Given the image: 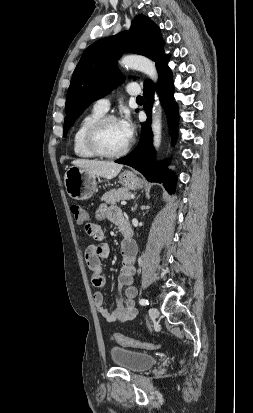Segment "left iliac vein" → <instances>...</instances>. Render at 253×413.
<instances>
[{
	"instance_id": "4c4485c4",
	"label": "left iliac vein",
	"mask_w": 253,
	"mask_h": 413,
	"mask_svg": "<svg viewBox=\"0 0 253 413\" xmlns=\"http://www.w3.org/2000/svg\"><path fill=\"white\" fill-rule=\"evenodd\" d=\"M149 314H150V316H151L152 318L155 319V318L158 317L159 312H158V310H157L156 308H150Z\"/></svg>"
}]
</instances>
